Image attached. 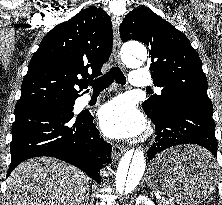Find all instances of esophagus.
Returning <instances> with one entry per match:
<instances>
[{
  "instance_id": "obj_1",
  "label": "esophagus",
  "mask_w": 222,
  "mask_h": 205,
  "mask_svg": "<svg viewBox=\"0 0 222 205\" xmlns=\"http://www.w3.org/2000/svg\"><path fill=\"white\" fill-rule=\"evenodd\" d=\"M121 23L120 17H114L113 19V32H114V44H113V52L114 57L117 62V64L124 69V65L120 59V48H121V39H120V33H119V27ZM125 149L120 145H114L112 148V156L114 159L118 158Z\"/></svg>"
}]
</instances>
